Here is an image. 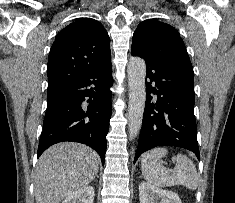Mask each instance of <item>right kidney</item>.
Returning <instances> with one entry per match:
<instances>
[{
    "label": "right kidney",
    "mask_w": 235,
    "mask_h": 203,
    "mask_svg": "<svg viewBox=\"0 0 235 203\" xmlns=\"http://www.w3.org/2000/svg\"><path fill=\"white\" fill-rule=\"evenodd\" d=\"M94 188L84 186L75 192L69 194L62 203H93Z\"/></svg>",
    "instance_id": "right-kidney-1"
}]
</instances>
